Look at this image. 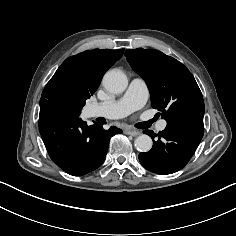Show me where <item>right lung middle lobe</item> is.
Returning a JSON list of instances; mask_svg holds the SVG:
<instances>
[{
	"label": "right lung middle lobe",
	"instance_id": "obj_1",
	"mask_svg": "<svg viewBox=\"0 0 236 236\" xmlns=\"http://www.w3.org/2000/svg\"><path fill=\"white\" fill-rule=\"evenodd\" d=\"M88 98L90 94L83 89L68 83H58L47 90L44 105H56L79 116Z\"/></svg>",
	"mask_w": 236,
	"mask_h": 236
}]
</instances>
